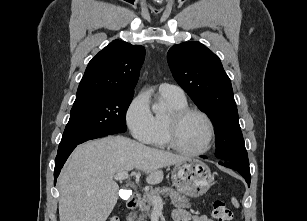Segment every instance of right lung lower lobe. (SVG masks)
<instances>
[{
    "label": "right lung lower lobe",
    "instance_id": "right-lung-lower-lobe-1",
    "mask_svg": "<svg viewBox=\"0 0 307 221\" xmlns=\"http://www.w3.org/2000/svg\"><path fill=\"white\" fill-rule=\"evenodd\" d=\"M95 139V138H94ZM85 142V141H83ZM81 142V143H83ZM79 143V144H81ZM78 144L72 145L66 149L63 150H58V154L56 156L55 159V169H54V182L56 183V179L59 176L60 170L62 169L65 161L67 160V158L69 157V155L71 154V152L75 149V147Z\"/></svg>",
    "mask_w": 307,
    "mask_h": 221
}]
</instances>
